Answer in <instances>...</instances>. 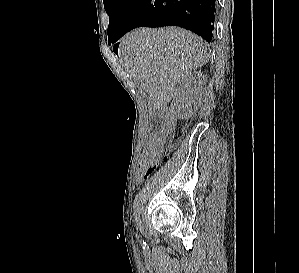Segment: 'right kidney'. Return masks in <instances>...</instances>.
Returning <instances> with one entry per match:
<instances>
[{
    "label": "right kidney",
    "mask_w": 299,
    "mask_h": 273,
    "mask_svg": "<svg viewBox=\"0 0 299 273\" xmlns=\"http://www.w3.org/2000/svg\"><path fill=\"white\" fill-rule=\"evenodd\" d=\"M206 81L201 71L189 73L179 81L172 100V108L176 110L178 118L187 119L196 112Z\"/></svg>",
    "instance_id": "right-kidney-1"
}]
</instances>
